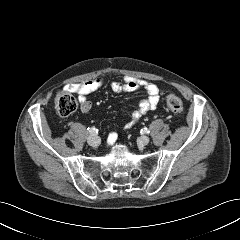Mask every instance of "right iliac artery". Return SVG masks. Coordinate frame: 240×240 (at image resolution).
I'll return each instance as SVG.
<instances>
[{
  "label": "right iliac artery",
  "instance_id": "right-iliac-artery-1",
  "mask_svg": "<svg viewBox=\"0 0 240 240\" xmlns=\"http://www.w3.org/2000/svg\"><path fill=\"white\" fill-rule=\"evenodd\" d=\"M90 134H95L98 132V130L95 127H90L87 129Z\"/></svg>",
  "mask_w": 240,
  "mask_h": 240
}]
</instances>
